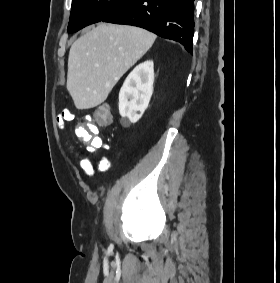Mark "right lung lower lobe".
<instances>
[{
  "label": "right lung lower lobe",
  "instance_id": "obj_1",
  "mask_svg": "<svg viewBox=\"0 0 280 283\" xmlns=\"http://www.w3.org/2000/svg\"><path fill=\"white\" fill-rule=\"evenodd\" d=\"M102 21L144 28L192 53L194 0H132Z\"/></svg>",
  "mask_w": 280,
  "mask_h": 283
}]
</instances>
